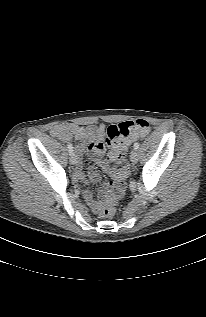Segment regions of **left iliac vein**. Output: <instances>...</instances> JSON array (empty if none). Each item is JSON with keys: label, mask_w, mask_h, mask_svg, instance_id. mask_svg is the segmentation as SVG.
<instances>
[{"label": "left iliac vein", "mask_w": 206, "mask_h": 317, "mask_svg": "<svg viewBox=\"0 0 206 317\" xmlns=\"http://www.w3.org/2000/svg\"><path fill=\"white\" fill-rule=\"evenodd\" d=\"M130 160L133 164H136L138 161V152L136 149L132 150L130 154Z\"/></svg>", "instance_id": "obj_1"}]
</instances>
